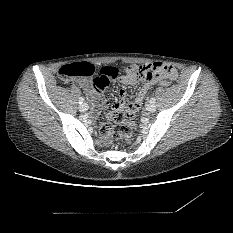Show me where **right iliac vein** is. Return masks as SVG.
I'll list each match as a JSON object with an SVG mask.
<instances>
[{
    "instance_id": "1",
    "label": "right iliac vein",
    "mask_w": 233,
    "mask_h": 233,
    "mask_svg": "<svg viewBox=\"0 0 233 233\" xmlns=\"http://www.w3.org/2000/svg\"><path fill=\"white\" fill-rule=\"evenodd\" d=\"M89 106L86 103H83L79 106L80 111L86 112L88 110Z\"/></svg>"
}]
</instances>
